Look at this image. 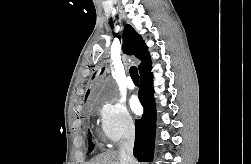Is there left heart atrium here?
<instances>
[{
	"mask_svg": "<svg viewBox=\"0 0 251 164\" xmlns=\"http://www.w3.org/2000/svg\"><path fill=\"white\" fill-rule=\"evenodd\" d=\"M130 107H131L133 112L139 113L141 107H140L139 101H138V99L136 97L131 98Z\"/></svg>",
	"mask_w": 251,
	"mask_h": 164,
	"instance_id": "1",
	"label": "left heart atrium"
}]
</instances>
